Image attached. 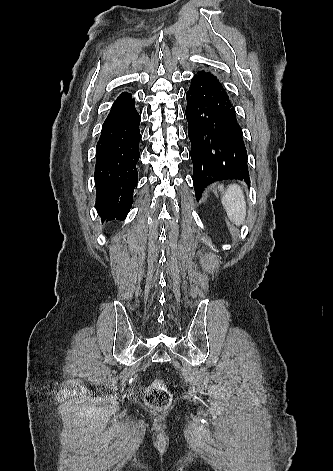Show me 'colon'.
I'll use <instances>...</instances> for the list:
<instances>
[{
  "label": "colon",
  "instance_id": "obj_1",
  "mask_svg": "<svg viewBox=\"0 0 333 471\" xmlns=\"http://www.w3.org/2000/svg\"><path fill=\"white\" fill-rule=\"evenodd\" d=\"M146 404L156 410H164L171 403V394L161 379H156L147 388L145 394Z\"/></svg>",
  "mask_w": 333,
  "mask_h": 471
}]
</instances>
